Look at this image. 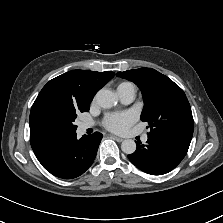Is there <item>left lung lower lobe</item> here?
I'll use <instances>...</instances> for the list:
<instances>
[{"label": "left lung lower lobe", "mask_w": 223, "mask_h": 223, "mask_svg": "<svg viewBox=\"0 0 223 223\" xmlns=\"http://www.w3.org/2000/svg\"><path fill=\"white\" fill-rule=\"evenodd\" d=\"M137 143V149L128 155L140 170L162 175L173 170L185 157L189 146L154 135H148L147 145Z\"/></svg>", "instance_id": "obj_1"}]
</instances>
